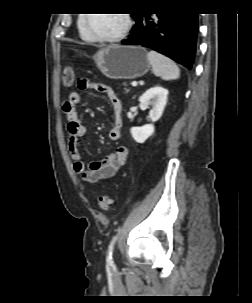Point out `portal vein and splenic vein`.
<instances>
[{
	"label": "portal vein and splenic vein",
	"instance_id": "obj_1",
	"mask_svg": "<svg viewBox=\"0 0 252 303\" xmlns=\"http://www.w3.org/2000/svg\"><path fill=\"white\" fill-rule=\"evenodd\" d=\"M131 85H132L133 87H135V86H137V82H136V81H133V82L131 83Z\"/></svg>",
	"mask_w": 252,
	"mask_h": 303
}]
</instances>
